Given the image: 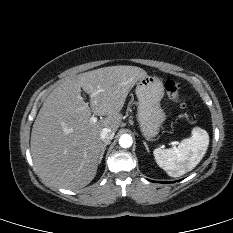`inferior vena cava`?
<instances>
[{
    "mask_svg": "<svg viewBox=\"0 0 233 233\" xmlns=\"http://www.w3.org/2000/svg\"><path fill=\"white\" fill-rule=\"evenodd\" d=\"M114 137V132L110 128H103L100 132V138L103 142H110Z\"/></svg>",
    "mask_w": 233,
    "mask_h": 233,
    "instance_id": "602c4592",
    "label": "inferior vena cava"
}]
</instances>
